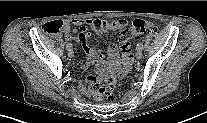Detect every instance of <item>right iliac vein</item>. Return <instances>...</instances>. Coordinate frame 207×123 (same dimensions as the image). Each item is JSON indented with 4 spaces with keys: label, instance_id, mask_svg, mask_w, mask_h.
<instances>
[{
    "label": "right iliac vein",
    "instance_id": "obj_1",
    "mask_svg": "<svg viewBox=\"0 0 207 123\" xmlns=\"http://www.w3.org/2000/svg\"><path fill=\"white\" fill-rule=\"evenodd\" d=\"M67 54L69 57H73L74 53H73L72 48L68 49Z\"/></svg>",
    "mask_w": 207,
    "mask_h": 123
}]
</instances>
